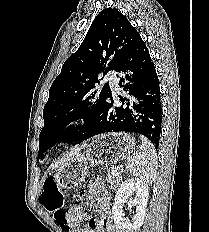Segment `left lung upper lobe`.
<instances>
[{
	"label": "left lung upper lobe",
	"mask_w": 209,
	"mask_h": 232,
	"mask_svg": "<svg viewBox=\"0 0 209 232\" xmlns=\"http://www.w3.org/2000/svg\"><path fill=\"white\" fill-rule=\"evenodd\" d=\"M140 38L117 9L106 8L96 16L79 49L65 61L50 87L43 110L45 123L39 135V158L58 141L84 140L111 95L108 83L98 85L99 78L110 70L118 72ZM119 46L122 48L117 50ZM79 119L85 121L83 127H67Z\"/></svg>",
	"instance_id": "1"
}]
</instances>
